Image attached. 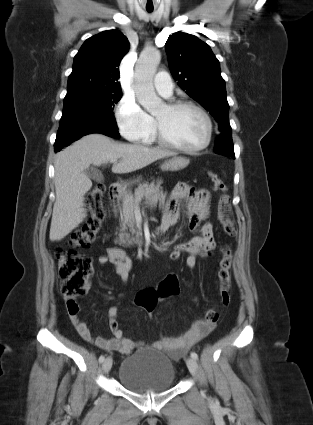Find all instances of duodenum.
<instances>
[{"instance_id":"1","label":"duodenum","mask_w":313,"mask_h":425,"mask_svg":"<svg viewBox=\"0 0 313 425\" xmlns=\"http://www.w3.org/2000/svg\"><path fill=\"white\" fill-rule=\"evenodd\" d=\"M120 192V186L117 183H112L109 186V195L112 201H116Z\"/></svg>"}]
</instances>
